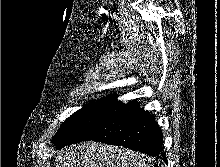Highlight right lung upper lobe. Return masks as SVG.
Here are the masks:
<instances>
[{"label":"right lung upper lobe","mask_w":220,"mask_h":167,"mask_svg":"<svg viewBox=\"0 0 220 167\" xmlns=\"http://www.w3.org/2000/svg\"><path fill=\"white\" fill-rule=\"evenodd\" d=\"M116 95H112L111 97H109V98H105V99H112V100H116Z\"/></svg>","instance_id":"obj_1"}]
</instances>
